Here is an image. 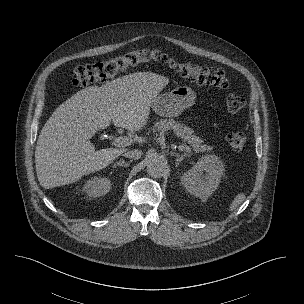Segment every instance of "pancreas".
<instances>
[{
    "mask_svg": "<svg viewBox=\"0 0 304 304\" xmlns=\"http://www.w3.org/2000/svg\"><path fill=\"white\" fill-rule=\"evenodd\" d=\"M170 129L184 142H187L196 153L209 152L212 150L211 146L204 144L202 139L193 134V129L173 119H160L154 124L151 131L155 133L156 131H168Z\"/></svg>",
    "mask_w": 304,
    "mask_h": 304,
    "instance_id": "pancreas-1",
    "label": "pancreas"
}]
</instances>
